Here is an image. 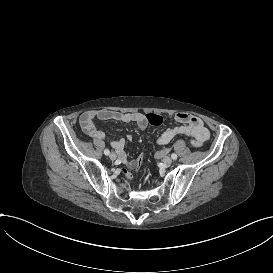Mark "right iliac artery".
Masks as SVG:
<instances>
[{
    "label": "right iliac artery",
    "mask_w": 273,
    "mask_h": 273,
    "mask_svg": "<svg viewBox=\"0 0 273 273\" xmlns=\"http://www.w3.org/2000/svg\"><path fill=\"white\" fill-rule=\"evenodd\" d=\"M109 153H110V151H109L108 149H105V150H104V154H105V155H109Z\"/></svg>",
    "instance_id": "obj_1"
}]
</instances>
